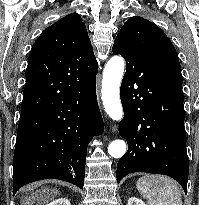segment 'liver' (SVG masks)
I'll list each match as a JSON object with an SVG mask.
<instances>
[{
    "label": "liver",
    "mask_w": 199,
    "mask_h": 205,
    "mask_svg": "<svg viewBox=\"0 0 199 205\" xmlns=\"http://www.w3.org/2000/svg\"><path fill=\"white\" fill-rule=\"evenodd\" d=\"M56 195H57L56 191H52L50 193L48 190L44 189V190L36 192L35 195L27 199V203L32 205L33 203H36V199L41 198V201L39 204H44L48 202L49 200H52Z\"/></svg>",
    "instance_id": "6515ba94"
}]
</instances>
